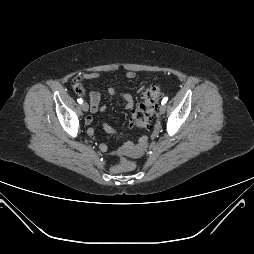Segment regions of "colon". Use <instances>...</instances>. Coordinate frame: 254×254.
<instances>
[{"mask_svg": "<svg viewBox=\"0 0 254 254\" xmlns=\"http://www.w3.org/2000/svg\"><path fill=\"white\" fill-rule=\"evenodd\" d=\"M73 88L77 94H83L84 88L80 79H75ZM162 90L159 86H151L143 93L142 100L138 102L132 110V124L141 129H149L152 120L157 116V106ZM135 169L134 162L127 158L121 157L119 163L113 166V171L116 173L127 172Z\"/></svg>", "mask_w": 254, "mask_h": 254, "instance_id": "colon-1", "label": "colon"}]
</instances>
